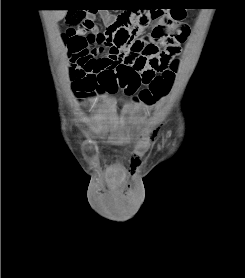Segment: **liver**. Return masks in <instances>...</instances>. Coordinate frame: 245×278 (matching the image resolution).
I'll return each instance as SVG.
<instances>
[{"label": "liver", "instance_id": "1", "mask_svg": "<svg viewBox=\"0 0 245 278\" xmlns=\"http://www.w3.org/2000/svg\"><path fill=\"white\" fill-rule=\"evenodd\" d=\"M52 12L56 21H60L67 14V10H53Z\"/></svg>", "mask_w": 245, "mask_h": 278}]
</instances>
